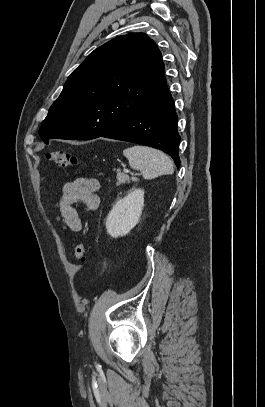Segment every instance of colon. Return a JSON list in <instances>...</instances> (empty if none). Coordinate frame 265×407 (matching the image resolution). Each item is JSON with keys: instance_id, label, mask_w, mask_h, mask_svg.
<instances>
[{"instance_id": "obj_1", "label": "colon", "mask_w": 265, "mask_h": 407, "mask_svg": "<svg viewBox=\"0 0 265 407\" xmlns=\"http://www.w3.org/2000/svg\"><path fill=\"white\" fill-rule=\"evenodd\" d=\"M48 159L57 166L77 167L81 164L79 158L63 149L52 150L47 155ZM86 244L80 242L77 244L74 257L78 262H82L85 257Z\"/></svg>"}]
</instances>
